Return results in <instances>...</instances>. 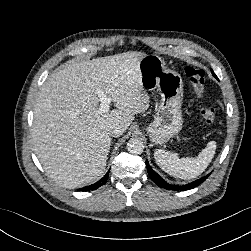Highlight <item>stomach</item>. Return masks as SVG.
Listing matches in <instances>:
<instances>
[{
  "label": "stomach",
  "instance_id": "obj_1",
  "mask_svg": "<svg viewBox=\"0 0 251 251\" xmlns=\"http://www.w3.org/2000/svg\"><path fill=\"white\" fill-rule=\"evenodd\" d=\"M139 71L144 90H157L161 96L156 116L146 130L153 143L162 145L182 129V78L176 71L167 69L161 57L155 54L140 60Z\"/></svg>",
  "mask_w": 251,
  "mask_h": 251
}]
</instances>
